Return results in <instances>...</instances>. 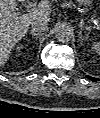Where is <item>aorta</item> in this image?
I'll return each mask as SVG.
<instances>
[{
    "label": "aorta",
    "instance_id": "aorta-1",
    "mask_svg": "<svg viewBox=\"0 0 100 118\" xmlns=\"http://www.w3.org/2000/svg\"><path fill=\"white\" fill-rule=\"evenodd\" d=\"M72 28L66 24H61L56 28L55 37L59 42H68L72 37Z\"/></svg>",
    "mask_w": 100,
    "mask_h": 118
}]
</instances>
